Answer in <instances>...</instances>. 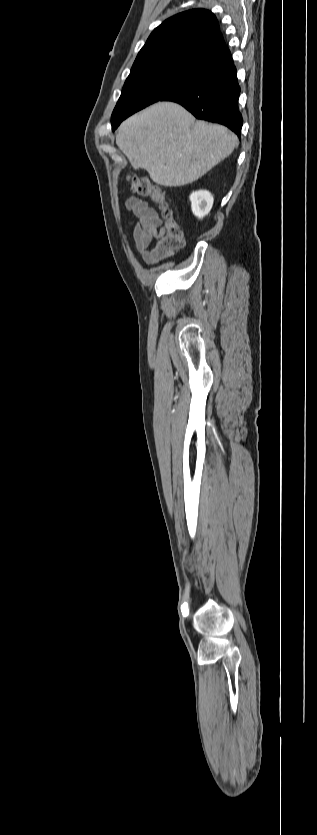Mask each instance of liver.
Segmentation results:
<instances>
[{"instance_id":"obj_1","label":"liver","mask_w":317,"mask_h":835,"mask_svg":"<svg viewBox=\"0 0 317 835\" xmlns=\"http://www.w3.org/2000/svg\"><path fill=\"white\" fill-rule=\"evenodd\" d=\"M228 128L195 121L182 106L158 102L120 126L116 144L136 169L164 186L197 180L228 157L237 144Z\"/></svg>"}]
</instances>
